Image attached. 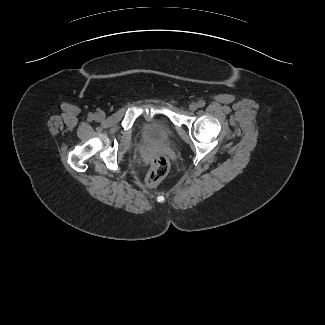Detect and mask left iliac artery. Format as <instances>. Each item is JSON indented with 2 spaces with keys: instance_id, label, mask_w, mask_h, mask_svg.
<instances>
[{
  "instance_id": "1",
  "label": "left iliac artery",
  "mask_w": 325,
  "mask_h": 325,
  "mask_svg": "<svg viewBox=\"0 0 325 325\" xmlns=\"http://www.w3.org/2000/svg\"><path fill=\"white\" fill-rule=\"evenodd\" d=\"M205 104H206V103H205L204 100H199V101H198V106L201 107V108L204 107Z\"/></svg>"
}]
</instances>
